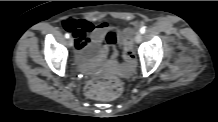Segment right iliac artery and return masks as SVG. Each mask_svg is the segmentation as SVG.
I'll use <instances>...</instances> for the list:
<instances>
[{"mask_svg":"<svg viewBox=\"0 0 218 122\" xmlns=\"http://www.w3.org/2000/svg\"><path fill=\"white\" fill-rule=\"evenodd\" d=\"M65 37L68 39L70 37L69 33H66Z\"/></svg>","mask_w":218,"mask_h":122,"instance_id":"right-iliac-artery-1","label":"right iliac artery"}]
</instances>
